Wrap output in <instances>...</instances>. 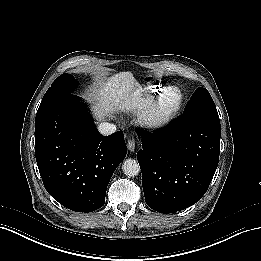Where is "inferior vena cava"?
Returning a JSON list of instances; mask_svg holds the SVG:
<instances>
[{
	"label": "inferior vena cava",
	"instance_id": "1",
	"mask_svg": "<svg viewBox=\"0 0 261 261\" xmlns=\"http://www.w3.org/2000/svg\"><path fill=\"white\" fill-rule=\"evenodd\" d=\"M98 131L102 135L108 136L116 132V126L108 122H103L98 126Z\"/></svg>",
	"mask_w": 261,
	"mask_h": 261
}]
</instances>
